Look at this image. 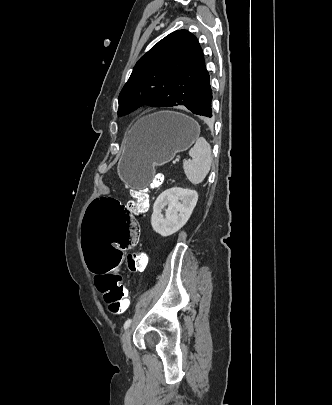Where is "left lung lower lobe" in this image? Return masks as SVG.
Here are the masks:
<instances>
[{
    "mask_svg": "<svg viewBox=\"0 0 332 405\" xmlns=\"http://www.w3.org/2000/svg\"><path fill=\"white\" fill-rule=\"evenodd\" d=\"M211 102L212 90L210 86V76L208 71L205 70L196 87L194 99L188 109L194 114L211 118L213 116Z\"/></svg>",
    "mask_w": 332,
    "mask_h": 405,
    "instance_id": "left-lung-lower-lobe-1",
    "label": "left lung lower lobe"
}]
</instances>
